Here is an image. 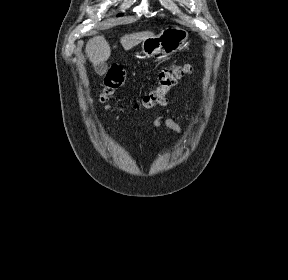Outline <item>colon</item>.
Returning a JSON list of instances; mask_svg holds the SVG:
<instances>
[{
  "instance_id": "1",
  "label": "colon",
  "mask_w": 288,
  "mask_h": 280,
  "mask_svg": "<svg viewBox=\"0 0 288 280\" xmlns=\"http://www.w3.org/2000/svg\"><path fill=\"white\" fill-rule=\"evenodd\" d=\"M189 72L190 66L187 64L172 65L171 67L162 70L158 76V86L145 95L136 104V107L153 109L157 106L165 105L168 92L176 84L178 79ZM124 79L125 74L122 68L117 65L112 66L104 79L100 100L105 103L115 90L123 84Z\"/></svg>"
}]
</instances>
